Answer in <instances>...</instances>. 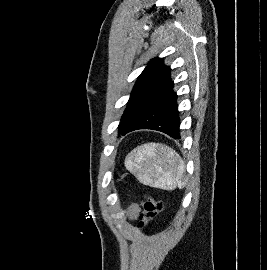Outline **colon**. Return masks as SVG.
Instances as JSON below:
<instances>
[{
    "instance_id": "1",
    "label": "colon",
    "mask_w": 267,
    "mask_h": 270,
    "mask_svg": "<svg viewBox=\"0 0 267 270\" xmlns=\"http://www.w3.org/2000/svg\"><path fill=\"white\" fill-rule=\"evenodd\" d=\"M163 210V203L160 199H157L151 195L147 196V199L139 213V227L145 228L150 224L155 217Z\"/></svg>"
}]
</instances>
